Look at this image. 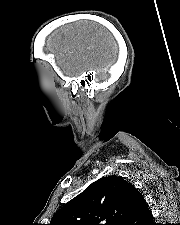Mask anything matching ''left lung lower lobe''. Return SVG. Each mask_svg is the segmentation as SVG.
Here are the masks:
<instances>
[{
  "label": "left lung lower lobe",
  "mask_w": 180,
  "mask_h": 225,
  "mask_svg": "<svg viewBox=\"0 0 180 225\" xmlns=\"http://www.w3.org/2000/svg\"><path fill=\"white\" fill-rule=\"evenodd\" d=\"M125 225H155L152 219V214L146 206L143 210L131 217Z\"/></svg>",
  "instance_id": "1"
}]
</instances>
